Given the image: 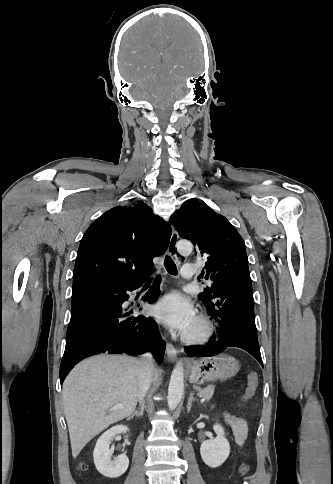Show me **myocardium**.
Here are the masks:
<instances>
[{
  "instance_id": "1",
  "label": "myocardium",
  "mask_w": 333,
  "mask_h": 484,
  "mask_svg": "<svg viewBox=\"0 0 333 484\" xmlns=\"http://www.w3.org/2000/svg\"><path fill=\"white\" fill-rule=\"evenodd\" d=\"M196 319L201 326L200 332L195 335L183 333L181 337L182 341L188 345H203L211 339L214 332L213 324L207 316L199 314Z\"/></svg>"
}]
</instances>
